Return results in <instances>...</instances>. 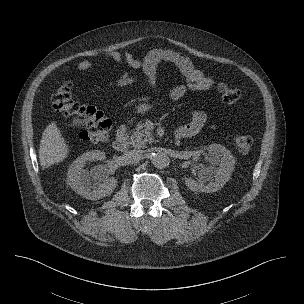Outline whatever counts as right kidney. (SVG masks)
<instances>
[{"label": "right kidney", "instance_id": "ca27d5eb", "mask_svg": "<svg viewBox=\"0 0 304 304\" xmlns=\"http://www.w3.org/2000/svg\"><path fill=\"white\" fill-rule=\"evenodd\" d=\"M105 153L92 150L82 154L69 167L67 181L71 188L86 199L97 200L109 196L117 185V179L108 177L104 166L93 167L85 172L83 166L87 161L102 160Z\"/></svg>", "mask_w": 304, "mask_h": 304}]
</instances>
